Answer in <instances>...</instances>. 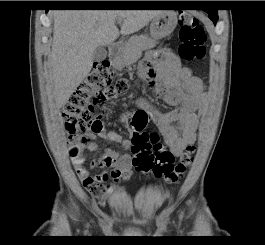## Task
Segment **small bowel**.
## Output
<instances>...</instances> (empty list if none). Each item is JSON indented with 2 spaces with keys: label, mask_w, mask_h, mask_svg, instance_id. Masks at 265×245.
Returning <instances> with one entry per match:
<instances>
[{
  "label": "small bowel",
  "mask_w": 265,
  "mask_h": 245,
  "mask_svg": "<svg viewBox=\"0 0 265 245\" xmlns=\"http://www.w3.org/2000/svg\"><path fill=\"white\" fill-rule=\"evenodd\" d=\"M141 66L155 70V80L149 83L154 95L164 103L175 106V109L164 114L154 108L144 99L138 100V105L149 117L150 121L160 130L170 151L179 157L185 148L194 145L199 127L197 111L204 105L206 99L203 81L192 74L184 66L173 51L151 50L141 61ZM131 113H124L121 117L123 124L132 133L129 122ZM101 138L121 143L125 149L131 148V140L123 139L119 133L106 131L104 127L97 133ZM84 152H93L97 144L87 140L82 144ZM83 155L75 161V171L85 190L98 197L101 193H110L112 186L100 187L101 184L112 182L114 186L121 180L132 175V162L129 153H119L116 150H107L99 159L92 160L89 167L83 164ZM102 167L110 171H100L92 174L91 169Z\"/></svg>",
  "instance_id": "obj_1"
}]
</instances>
